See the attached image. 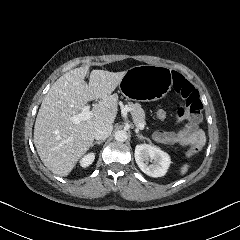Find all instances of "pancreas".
Instances as JSON below:
<instances>
[{
	"label": "pancreas",
	"instance_id": "pancreas-1",
	"mask_svg": "<svg viewBox=\"0 0 240 240\" xmlns=\"http://www.w3.org/2000/svg\"><path fill=\"white\" fill-rule=\"evenodd\" d=\"M127 107L131 108V115L136 126L145 123V112L139 103L128 102Z\"/></svg>",
	"mask_w": 240,
	"mask_h": 240
}]
</instances>
